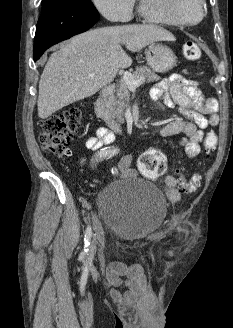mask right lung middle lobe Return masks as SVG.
Wrapping results in <instances>:
<instances>
[{"label": "right lung middle lobe", "mask_w": 233, "mask_h": 328, "mask_svg": "<svg viewBox=\"0 0 233 328\" xmlns=\"http://www.w3.org/2000/svg\"><path fill=\"white\" fill-rule=\"evenodd\" d=\"M42 5H58L96 10L90 0H42Z\"/></svg>", "instance_id": "1"}]
</instances>
